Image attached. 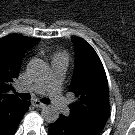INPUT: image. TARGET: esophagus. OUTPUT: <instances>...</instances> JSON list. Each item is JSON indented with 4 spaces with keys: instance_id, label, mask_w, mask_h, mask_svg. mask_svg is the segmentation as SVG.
<instances>
[{
    "instance_id": "1",
    "label": "esophagus",
    "mask_w": 135,
    "mask_h": 135,
    "mask_svg": "<svg viewBox=\"0 0 135 135\" xmlns=\"http://www.w3.org/2000/svg\"><path fill=\"white\" fill-rule=\"evenodd\" d=\"M32 105L35 106V107H39V108H43L45 106V104H43L39 100L32 101Z\"/></svg>"
}]
</instances>
